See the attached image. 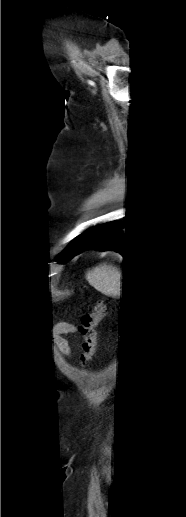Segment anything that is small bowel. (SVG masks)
Instances as JSON below:
<instances>
[{"label": "small bowel", "instance_id": "c3829d8e", "mask_svg": "<svg viewBox=\"0 0 186 517\" xmlns=\"http://www.w3.org/2000/svg\"><path fill=\"white\" fill-rule=\"evenodd\" d=\"M75 333L76 327L68 322H61L54 328V340L57 343L60 351L67 357L71 354V348L67 339L64 336L72 335Z\"/></svg>", "mask_w": 186, "mask_h": 517}]
</instances>
